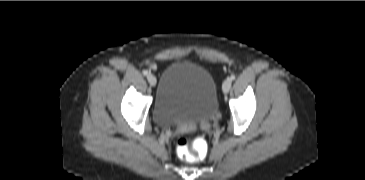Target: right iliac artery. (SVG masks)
<instances>
[{"instance_id": "1", "label": "right iliac artery", "mask_w": 365, "mask_h": 180, "mask_svg": "<svg viewBox=\"0 0 365 180\" xmlns=\"http://www.w3.org/2000/svg\"><path fill=\"white\" fill-rule=\"evenodd\" d=\"M143 74H144L145 76H147V75H149V72H148L147 70H143Z\"/></svg>"}]
</instances>
